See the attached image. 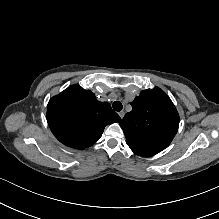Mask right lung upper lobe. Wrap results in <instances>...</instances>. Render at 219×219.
Instances as JSON below:
<instances>
[{"instance_id":"obj_1","label":"right lung upper lobe","mask_w":219,"mask_h":219,"mask_svg":"<svg viewBox=\"0 0 219 219\" xmlns=\"http://www.w3.org/2000/svg\"><path fill=\"white\" fill-rule=\"evenodd\" d=\"M47 121L61 143L84 149L100 139L106 125L120 122L121 118L109 103L98 101L90 90L72 85L50 99Z\"/></svg>"}]
</instances>
